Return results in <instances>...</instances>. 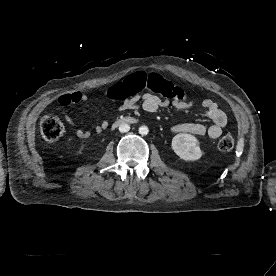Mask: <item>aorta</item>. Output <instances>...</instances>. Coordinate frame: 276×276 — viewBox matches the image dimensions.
Returning <instances> with one entry per match:
<instances>
[{
  "instance_id": "obj_1",
  "label": "aorta",
  "mask_w": 276,
  "mask_h": 276,
  "mask_svg": "<svg viewBox=\"0 0 276 276\" xmlns=\"http://www.w3.org/2000/svg\"><path fill=\"white\" fill-rule=\"evenodd\" d=\"M148 132H149V129H148L147 126H141V127H139V133H140L141 135H147Z\"/></svg>"
}]
</instances>
